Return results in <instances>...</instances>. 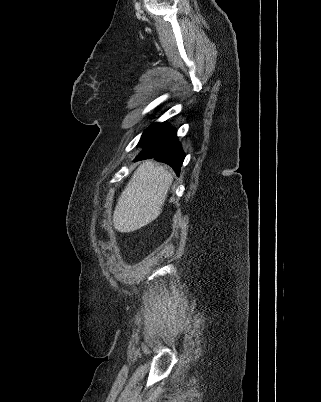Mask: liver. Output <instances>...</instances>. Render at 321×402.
<instances>
[{"instance_id": "1", "label": "liver", "mask_w": 321, "mask_h": 402, "mask_svg": "<svg viewBox=\"0 0 321 402\" xmlns=\"http://www.w3.org/2000/svg\"><path fill=\"white\" fill-rule=\"evenodd\" d=\"M172 182V174L163 166L153 161L141 164L118 199L114 228L129 233L154 221L162 212Z\"/></svg>"}]
</instances>
